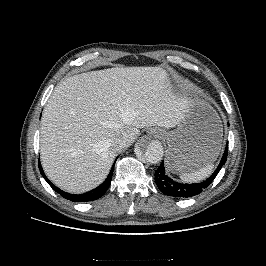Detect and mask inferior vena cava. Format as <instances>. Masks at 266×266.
<instances>
[{"label":"inferior vena cava","mask_w":266,"mask_h":266,"mask_svg":"<svg viewBox=\"0 0 266 266\" xmlns=\"http://www.w3.org/2000/svg\"><path fill=\"white\" fill-rule=\"evenodd\" d=\"M128 136L127 135H118L112 138L111 140V147L115 151H121L123 148L127 146L128 143Z\"/></svg>","instance_id":"1"}]
</instances>
